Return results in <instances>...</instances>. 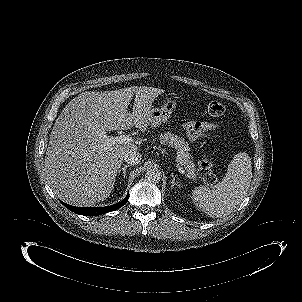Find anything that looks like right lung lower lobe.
I'll return each instance as SVG.
<instances>
[{
    "label": "right lung lower lobe",
    "instance_id": "right-lung-lower-lobe-1",
    "mask_svg": "<svg viewBox=\"0 0 302 302\" xmlns=\"http://www.w3.org/2000/svg\"><path fill=\"white\" fill-rule=\"evenodd\" d=\"M129 198V194H127V196L125 197L124 200H122L121 202L112 205V206H107V207H102V208H91V207H75V206H71L68 204H65L63 202H61L66 208H68L70 211L79 214V215H84V216H96V215H101L116 209H119L120 207H122Z\"/></svg>",
    "mask_w": 302,
    "mask_h": 302
}]
</instances>
